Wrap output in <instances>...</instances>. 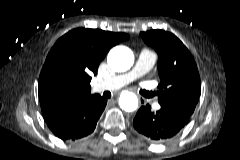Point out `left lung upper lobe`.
<instances>
[{
	"mask_svg": "<svg viewBox=\"0 0 240 160\" xmlns=\"http://www.w3.org/2000/svg\"><path fill=\"white\" fill-rule=\"evenodd\" d=\"M140 35L158 54L160 105L190 118L201 95L200 76L193 56L170 32L155 29Z\"/></svg>",
	"mask_w": 240,
	"mask_h": 160,
	"instance_id": "obj_1",
	"label": "left lung upper lobe"
}]
</instances>
